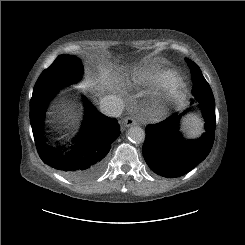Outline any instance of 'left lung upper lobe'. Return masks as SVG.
<instances>
[{"label": "left lung upper lobe", "mask_w": 245, "mask_h": 245, "mask_svg": "<svg viewBox=\"0 0 245 245\" xmlns=\"http://www.w3.org/2000/svg\"><path fill=\"white\" fill-rule=\"evenodd\" d=\"M185 61L188 63L191 70L192 82L194 84L192 93L195 99L200 101L203 99H209L213 93L209 84L202 75L200 68L189 59H185Z\"/></svg>", "instance_id": "5c2ea615"}]
</instances>
